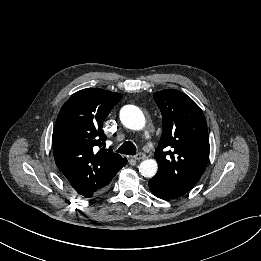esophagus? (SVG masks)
<instances>
[{"mask_svg":"<svg viewBox=\"0 0 261 261\" xmlns=\"http://www.w3.org/2000/svg\"><path fill=\"white\" fill-rule=\"evenodd\" d=\"M145 157H146V155L143 152H139L133 158L135 160H143Z\"/></svg>","mask_w":261,"mask_h":261,"instance_id":"esophagus-1","label":"esophagus"}]
</instances>
